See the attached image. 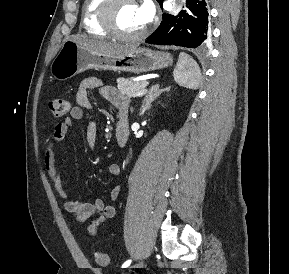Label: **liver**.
Returning <instances> with one entry per match:
<instances>
[{"label":"liver","instance_id":"liver-1","mask_svg":"<svg viewBox=\"0 0 289 274\" xmlns=\"http://www.w3.org/2000/svg\"><path fill=\"white\" fill-rule=\"evenodd\" d=\"M71 40L75 41L82 47H85L91 51L109 54V55H122L133 49H136V46L121 45V44L111 43V42L102 41V40H95V39L73 37L71 38Z\"/></svg>","mask_w":289,"mask_h":274}]
</instances>
